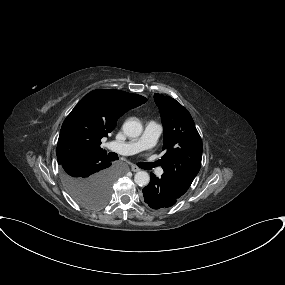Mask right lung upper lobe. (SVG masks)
<instances>
[{
	"label": "right lung upper lobe",
	"instance_id": "cb5924a9",
	"mask_svg": "<svg viewBox=\"0 0 285 285\" xmlns=\"http://www.w3.org/2000/svg\"><path fill=\"white\" fill-rule=\"evenodd\" d=\"M146 101L143 96L112 89L85 95L62 124L57 144L59 165L85 154L104 152L101 139L114 130L125 112Z\"/></svg>",
	"mask_w": 285,
	"mask_h": 285
}]
</instances>
